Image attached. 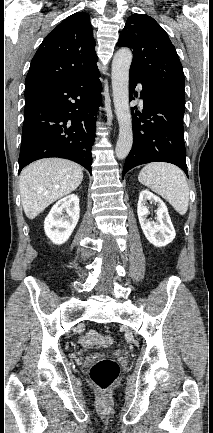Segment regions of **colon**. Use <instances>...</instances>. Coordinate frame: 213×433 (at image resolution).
<instances>
[{
    "mask_svg": "<svg viewBox=\"0 0 213 433\" xmlns=\"http://www.w3.org/2000/svg\"><path fill=\"white\" fill-rule=\"evenodd\" d=\"M102 340L108 346L114 343V337L109 334L104 335ZM119 372L120 368L115 360L103 358L92 365L90 378L100 390L106 391L115 382L119 376Z\"/></svg>",
    "mask_w": 213,
    "mask_h": 433,
    "instance_id": "1",
    "label": "colon"
}]
</instances>
